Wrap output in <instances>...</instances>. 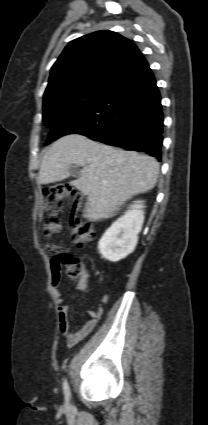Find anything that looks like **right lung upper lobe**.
<instances>
[{
	"mask_svg": "<svg viewBox=\"0 0 208 425\" xmlns=\"http://www.w3.org/2000/svg\"><path fill=\"white\" fill-rule=\"evenodd\" d=\"M143 58L137 46L113 31L71 41L51 68L44 102L85 89H106Z\"/></svg>",
	"mask_w": 208,
	"mask_h": 425,
	"instance_id": "cb5924a9",
	"label": "right lung upper lobe"
}]
</instances>
